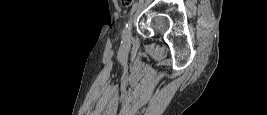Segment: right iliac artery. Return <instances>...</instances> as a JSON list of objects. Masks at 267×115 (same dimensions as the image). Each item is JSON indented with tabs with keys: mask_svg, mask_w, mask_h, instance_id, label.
I'll return each instance as SVG.
<instances>
[{
	"mask_svg": "<svg viewBox=\"0 0 267 115\" xmlns=\"http://www.w3.org/2000/svg\"><path fill=\"white\" fill-rule=\"evenodd\" d=\"M136 8H137V3H135V4L133 5V7L131 8L130 13H129V16H131V15L135 12ZM125 27L127 28V27H128V24H126ZM124 34H125V30L123 31V35H124ZM122 37H123V36H122Z\"/></svg>",
	"mask_w": 267,
	"mask_h": 115,
	"instance_id": "82829eb1",
	"label": "right iliac artery"
}]
</instances>
